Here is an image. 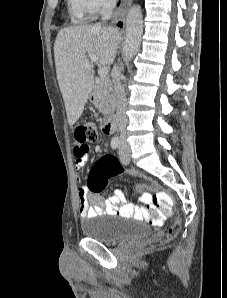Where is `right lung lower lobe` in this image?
Wrapping results in <instances>:
<instances>
[{
    "label": "right lung lower lobe",
    "instance_id": "98d812e1",
    "mask_svg": "<svg viewBox=\"0 0 227 298\" xmlns=\"http://www.w3.org/2000/svg\"><path fill=\"white\" fill-rule=\"evenodd\" d=\"M119 4V3H118ZM119 27H122V23L121 22H119L118 24H117Z\"/></svg>",
    "mask_w": 227,
    "mask_h": 298
}]
</instances>
